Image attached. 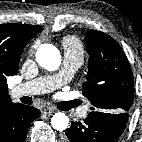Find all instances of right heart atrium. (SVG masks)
I'll return each instance as SVG.
<instances>
[{"label": "right heart atrium", "instance_id": "obj_1", "mask_svg": "<svg viewBox=\"0 0 142 142\" xmlns=\"http://www.w3.org/2000/svg\"><path fill=\"white\" fill-rule=\"evenodd\" d=\"M33 50H34V49H32V50H31V52H30V56L32 55V53H33Z\"/></svg>", "mask_w": 142, "mask_h": 142}]
</instances>
